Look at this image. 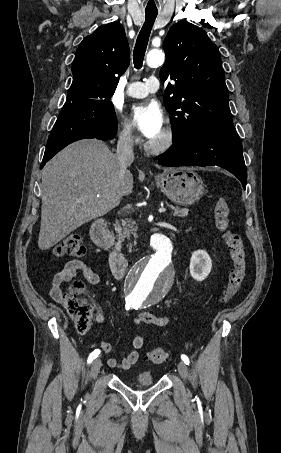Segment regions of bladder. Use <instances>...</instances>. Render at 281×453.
Instances as JSON below:
<instances>
[{
    "instance_id": "bladder-1",
    "label": "bladder",
    "mask_w": 281,
    "mask_h": 453,
    "mask_svg": "<svg viewBox=\"0 0 281 453\" xmlns=\"http://www.w3.org/2000/svg\"><path fill=\"white\" fill-rule=\"evenodd\" d=\"M135 383L141 386H148L153 383V377L148 372L140 373L136 376Z\"/></svg>"
}]
</instances>
